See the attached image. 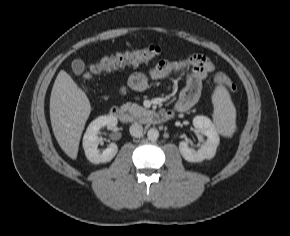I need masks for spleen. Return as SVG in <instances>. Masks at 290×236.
Segmentation results:
<instances>
[{
  "mask_svg": "<svg viewBox=\"0 0 290 236\" xmlns=\"http://www.w3.org/2000/svg\"><path fill=\"white\" fill-rule=\"evenodd\" d=\"M214 105L213 120L223 136H231L235 129L236 109L230 94L222 85L215 88L212 95Z\"/></svg>",
  "mask_w": 290,
  "mask_h": 236,
  "instance_id": "spleen-1",
  "label": "spleen"
}]
</instances>
